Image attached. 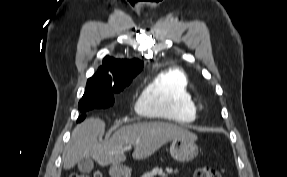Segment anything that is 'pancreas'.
Returning <instances> with one entry per match:
<instances>
[{
  "mask_svg": "<svg viewBox=\"0 0 287 177\" xmlns=\"http://www.w3.org/2000/svg\"><path fill=\"white\" fill-rule=\"evenodd\" d=\"M174 172H177V170H175ZM171 173H173V170L171 168H166V172H163L161 168H154L152 171L144 173L141 177H165Z\"/></svg>",
  "mask_w": 287,
  "mask_h": 177,
  "instance_id": "1",
  "label": "pancreas"
}]
</instances>
